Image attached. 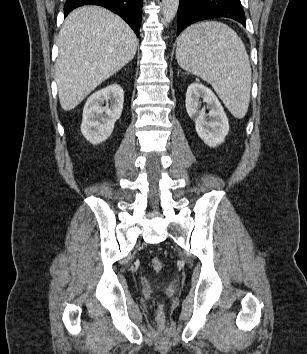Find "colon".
<instances>
[{"label": "colon", "mask_w": 307, "mask_h": 354, "mask_svg": "<svg viewBox=\"0 0 307 354\" xmlns=\"http://www.w3.org/2000/svg\"><path fill=\"white\" fill-rule=\"evenodd\" d=\"M152 268L155 272H160L163 268V262L160 258H153L151 261ZM159 313L161 314V307L159 308Z\"/></svg>", "instance_id": "colon-1"}]
</instances>
